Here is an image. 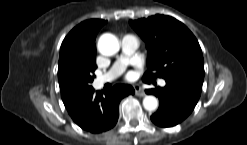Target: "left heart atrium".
Returning <instances> with one entry per match:
<instances>
[{
    "label": "left heart atrium",
    "instance_id": "39dd6f15",
    "mask_svg": "<svg viewBox=\"0 0 247 145\" xmlns=\"http://www.w3.org/2000/svg\"><path fill=\"white\" fill-rule=\"evenodd\" d=\"M125 78L128 80V81H131L134 79V74L132 72H128L126 75H125Z\"/></svg>",
    "mask_w": 247,
    "mask_h": 145
}]
</instances>
